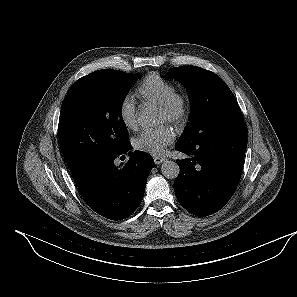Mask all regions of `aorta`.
I'll list each match as a JSON object with an SVG mask.
<instances>
[{"label":"aorta","mask_w":297,"mask_h":297,"mask_svg":"<svg viewBox=\"0 0 297 297\" xmlns=\"http://www.w3.org/2000/svg\"><path fill=\"white\" fill-rule=\"evenodd\" d=\"M138 122L144 127H152L158 123V114L154 109H142L138 116ZM179 166L174 161L166 160L161 166V172L168 179H175L179 174Z\"/></svg>","instance_id":"aorta-1"}]
</instances>
